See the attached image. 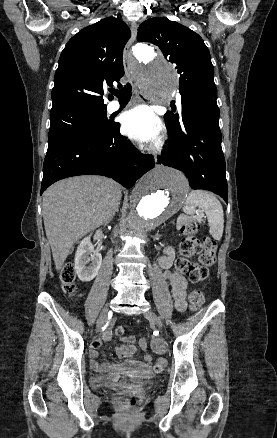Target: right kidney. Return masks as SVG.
I'll use <instances>...</instances> for the list:
<instances>
[{"instance_id": "1", "label": "right kidney", "mask_w": 277, "mask_h": 438, "mask_svg": "<svg viewBox=\"0 0 277 438\" xmlns=\"http://www.w3.org/2000/svg\"><path fill=\"white\" fill-rule=\"evenodd\" d=\"M102 264V256L95 252L89 236L80 242L75 254V272L81 282H91L96 278Z\"/></svg>"}]
</instances>
